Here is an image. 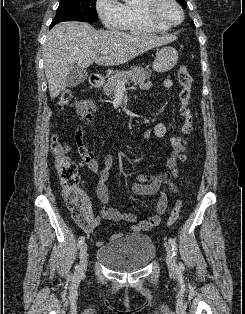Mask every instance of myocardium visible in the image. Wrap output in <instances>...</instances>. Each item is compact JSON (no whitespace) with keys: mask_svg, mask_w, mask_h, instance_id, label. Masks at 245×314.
Instances as JSON below:
<instances>
[{"mask_svg":"<svg viewBox=\"0 0 245 314\" xmlns=\"http://www.w3.org/2000/svg\"><path fill=\"white\" fill-rule=\"evenodd\" d=\"M165 1L174 4L178 11L180 12L181 20L178 23L170 22L161 16L160 6ZM141 11L146 19L166 28L178 26L184 20V11L177 0H145L141 5Z\"/></svg>","mask_w":245,"mask_h":314,"instance_id":"obj_1","label":"myocardium"}]
</instances>
